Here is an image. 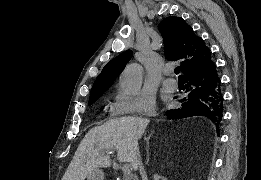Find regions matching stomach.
Instances as JSON below:
<instances>
[{
	"instance_id": "1",
	"label": "stomach",
	"mask_w": 261,
	"mask_h": 180,
	"mask_svg": "<svg viewBox=\"0 0 261 180\" xmlns=\"http://www.w3.org/2000/svg\"><path fill=\"white\" fill-rule=\"evenodd\" d=\"M87 180H104V173L100 169H95L88 174Z\"/></svg>"
}]
</instances>
